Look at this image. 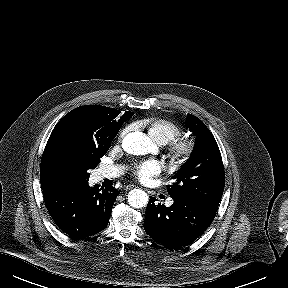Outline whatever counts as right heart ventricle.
Masks as SVG:
<instances>
[{"mask_svg": "<svg viewBox=\"0 0 288 288\" xmlns=\"http://www.w3.org/2000/svg\"><path fill=\"white\" fill-rule=\"evenodd\" d=\"M139 125L145 127L150 138L159 144H165L182 133L178 123L166 118L143 119Z\"/></svg>", "mask_w": 288, "mask_h": 288, "instance_id": "e07e8e85", "label": "right heart ventricle"}]
</instances>
